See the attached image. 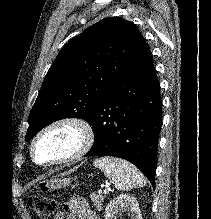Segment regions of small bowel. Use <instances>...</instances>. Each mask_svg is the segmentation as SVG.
<instances>
[{"label": "small bowel", "mask_w": 211, "mask_h": 219, "mask_svg": "<svg viewBox=\"0 0 211 219\" xmlns=\"http://www.w3.org/2000/svg\"><path fill=\"white\" fill-rule=\"evenodd\" d=\"M53 219H99L82 196L69 198Z\"/></svg>", "instance_id": "1"}]
</instances>
